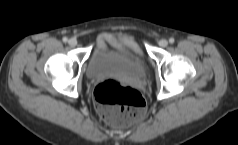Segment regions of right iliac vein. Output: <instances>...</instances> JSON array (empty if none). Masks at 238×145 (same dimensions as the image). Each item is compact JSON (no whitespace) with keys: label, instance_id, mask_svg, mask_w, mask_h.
<instances>
[{"label":"right iliac vein","instance_id":"right-iliac-vein-1","mask_svg":"<svg viewBox=\"0 0 238 145\" xmlns=\"http://www.w3.org/2000/svg\"><path fill=\"white\" fill-rule=\"evenodd\" d=\"M68 44L71 47H75L77 45V40L75 38H71V39H69Z\"/></svg>","mask_w":238,"mask_h":145}]
</instances>
